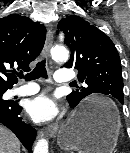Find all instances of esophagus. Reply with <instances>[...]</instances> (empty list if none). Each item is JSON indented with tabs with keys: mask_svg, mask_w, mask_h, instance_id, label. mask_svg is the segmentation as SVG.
Returning a JSON list of instances; mask_svg holds the SVG:
<instances>
[{
	"mask_svg": "<svg viewBox=\"0 0 130 153\" xmlns=\"http://www.w3.org/2000/svg\"><path fill=\"white\" fill-rule=\"evenodd\" d=\"M53 45V32L49 29L46 35V41L44 46V54L45 56L49 57L50 49ZM58 129V124H51L46 129V134L49 137H54Z\"/></svg>",
	"mask_w": 130,
	"mask_h": 153,
	"instance_id": "obj_1",
	"label": "esophagus"
}]
</instances>
